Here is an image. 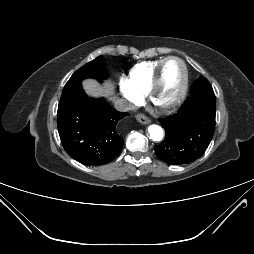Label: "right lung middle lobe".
I'll return each instance as SVG.
<instances>
[{
	"instance_id": "right-lung-middle-lobe-1",
	"label": "right lung middle lobe",
	"mask_w": 254,
	"mask_h": 254,
	"mask_svg": "<svg viewBox=\"0 0 254 254\" xmlns=\"http://www.w3.org/2000/svg\"><path fill=\"white\" fill-rule=\"evenodd\" d=\"M86 78H95L99 82H102L103 79L107 78V71L103 56H98L96 59L92 60L91 62L78 69L71 76L66 85L75 82H81L83 79Z\"/></svg>"
}]
</instances>
